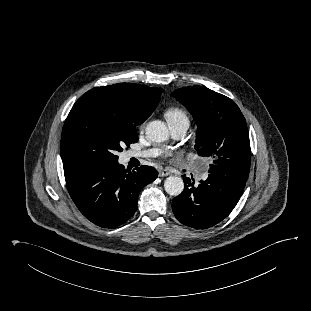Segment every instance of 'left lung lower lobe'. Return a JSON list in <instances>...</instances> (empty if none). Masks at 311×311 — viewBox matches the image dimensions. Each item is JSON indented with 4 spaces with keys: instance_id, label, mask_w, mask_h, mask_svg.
Segmentation results:
<instances>
[{
    "instance_id": "1",
    "label": "left lung lower lobe",
    "mask_w": 311,
    "mask_h": 311,
    "mask_svg": "<svg viewBox=\"0 0 311 311\" xmlns=\"http://www.w3.org/2000/svg\"><path fill=\"white\" fill-rule=\"evenodd\" d=\"M183 192L172 200L175 217L184 225L206 229L226 218L239 201L245 181L210 173L198 186L183 177Z\"/></svg>"
}]
</instances>
